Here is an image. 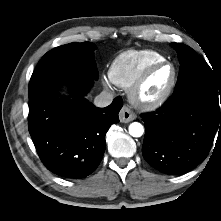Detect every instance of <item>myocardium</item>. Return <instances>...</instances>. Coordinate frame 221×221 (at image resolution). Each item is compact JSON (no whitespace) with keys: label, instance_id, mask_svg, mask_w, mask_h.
<instances>
[{"label":"myocardium","instance_id":"myocardium-1","mask_svg":"<svg viewBox=\"0 0 221 221\" xmlns=\"http://www.w3.org/2000/svg\"><path fill=\"white\" fill-rule=\"evenodd\" d=\"M163 66H170L172 69V76L169 84L163 90V92L160 93L157 97L151 100L143 99L141 96V92L144 85L146 84L152 73L158 68ZM176 82H177V68L171 61L164 59L162 61L152 63L151 65H149L144 69V71L140 74V76L131 85L129 89V99L133 105H135L137 108L141 110L145 111L155 110L160 106H162L168 100L172 91L175 88Z\"/></svg>","mask_w":221,"mask_h":221}]
</instances>
